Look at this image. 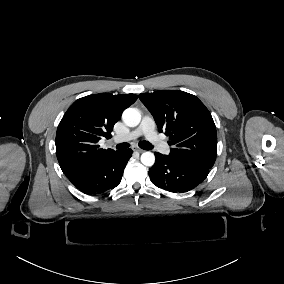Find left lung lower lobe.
I'll return each mask as SVG.
<instances>
[{"label": "left lung lower lobe", "instance_id": "obj_1", "mask_svg": "<svg viewBox=\"0 0 284 284\" xmlns=\"http://www.w3.org/2000/svg\"><path fill=\"white\" fill-rule=\"evenodd\" d=\"M155 164L149 169L151 182L170 192H187L208 175V168L155 152Z\"/></svg>", "mask_w": 284, "mask_h": 284}]
</instances>
